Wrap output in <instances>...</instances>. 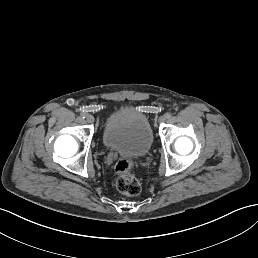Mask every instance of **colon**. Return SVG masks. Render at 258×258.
<instances>
[{
  "instance_id": "5ec220e1",
  "label": "colon",
  "mask_w": 258,
  "mask_h": 258,
  "mask_svg": "<svg viewBox=\"0 0 258 258\" xmlns=\"http://www.w3.org/2000/svg\"><path fill=\"white\" fill-rule=\"evenodd\" d=\"M115 182L119 192L127 196L139 194L141 186L133 172V162L118 158L114 166Z\"/></svg>"
}]
</instances>
